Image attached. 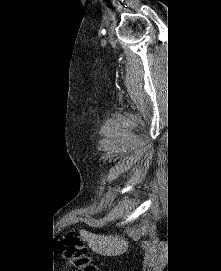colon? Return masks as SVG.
<instances>
[{"instance_id": "obj_1", "label": "colon", "mask_w": 221, "mask_h": 271, "mask_svg": "<svg viewBox=\"0 0 221 271\" xmlns=\"http://www.w3.org/2000/svg\"><path fill=\"white\" fill-rule=\"evenodd\" d=\"M57 241L65 257L73 265L76 271H99V267L94 263L84 240L74 230H67L59 234Z\"/></svg>"}]
</instances>
